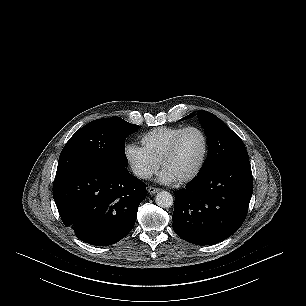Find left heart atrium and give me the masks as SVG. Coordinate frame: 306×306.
Wrapping results in <instances>:
<instances>
[{
    "mask_svg": "<svg viewBox=\"0 0 306 306\" xmlns=\"http://www.w3.org/2000/svg\"><path fill=\"white\" fill-rule=\"evenodd\" d=\"M158 179L162 183H172V182L176 181V179L170 173H168L166 170H163L160 173Z\"/></svg>",
    "mask_w": 306,
    "mask_h": 306,
    "instance_id": "39dd6f15",
    "label": "left heart atrium"
}]
</instances>
